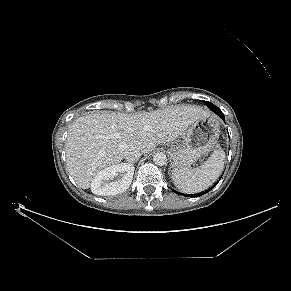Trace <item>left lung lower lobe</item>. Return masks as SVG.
Masks as SVG:
<instances>
[{"label": "left lung lower lobe", "instance_id": "left-lung-lower-lobe-1", "mask_svg": "<svg viewBox=\"0 0 291 291\" xmlns=\"http://www.w3.org/2000/svg\"><path fill=\"white\" fill-rule=\"evenodd\" d=\"M211 110H213L218 116H220L224 121H225V117H224V115H223V113L221 112V110L219 109V108H217V107H214V108H212ZM217 184V183H216ZM213 187H211L209 190H207V192L208 191H210L211 189H212ZM204 193H206V192H203L202 194H204ZM201 194H197V195H195L194 197H196V196H200Z\"/></svg>", "mask_w": 291, "mask_h": 291}]
</instances>
